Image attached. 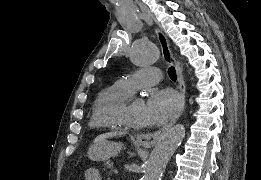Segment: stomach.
<instances>
[{
    "label": "stomach",
    "mask_w": 261,
    "mask_h": 180,
    "mask_svg": "<svg viewBox=\"0 0 261 180\" xmlns=\"http://www.w3.org/2000/svg\"><path fill=\"white\" fill-rule=\"evenodd\" d=\"M122 148V143L102 140L92 145L88 151V158L92 161L105 162L111 157L117 155L122 150Z\"/></svg>",
    "instance_id": "1"
}]
</instances>
